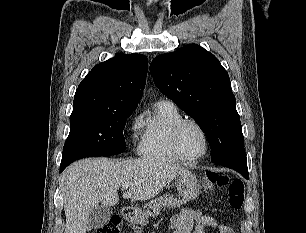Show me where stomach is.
<instances>
[{
	"mask_svg": "<svg viewBox=\"0 0 306 233\" xmlns=\"http://www.w3.org/2000/svg\"><path fill=\"white\" fill-rule=\"evenodd\" d=\"M177 190L179 195L184 200H191L198 197L200 194V184L196 179L195 174L188 173L180 175L178 181L176 182ZM148 215L145 212H138L133 218L136 222H143Z\"/></svg>",
	"mask_w": 306,
	"mask_h": 233,
	"instance_id": "1",
	"label": "stomach"
}]
</instances>
